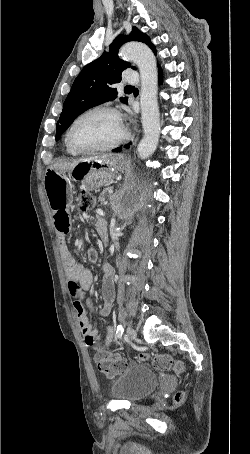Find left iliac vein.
I'll list each match as a JSON object with an SVG mask.
<instances>
[{
    "instance_id": "left-iliac-vein-1",
    "label": "left iliac vein",
    "mask_w": 250,
    "mask_h": 454,
    "mask_svg": "<svg viewBox=\"0 0 250 454\" xmlns=\"http://www.w3.org/2000/svg\"><path fill=\"white\" fill-rule=\"evenodd\" d=\"M127 336L130 340H135L137 337L136 331L132 327L127 328Z\"/></svg>"
}]
</instances>
